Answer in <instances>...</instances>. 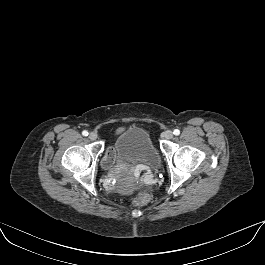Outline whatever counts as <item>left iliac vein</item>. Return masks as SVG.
<instances>
[{
  "mask_svg": "<svg viewBox=\"0 0 265 265\" xmlns=\"http://www.w3.org/2000/svg\"><path fill=\"white\" fill-rule=\"evenodd\" d=\"M163 137L165 139H171L173 137V132L171 130H166L164 133H163Z\"/></svg>",
  "mask_w": 265,
  "mask_h": 265,
  "instance_id": "4c4485c4",
  "label": "left iliac vein"
}]
</instances>
